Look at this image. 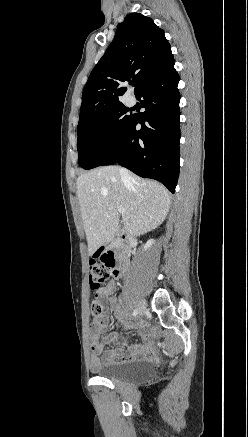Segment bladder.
Returning <instances> with one entry per match:
<instances>
[{"label": "bladder", "mask_w": 248, "mask_h": 437, "mask_svg": "<svg viewBox=\"0 0 248 437\" xmlns=\"http://www.w3.org/2000/svg\"><path fill=\"white\" fill-rule=\"evenodd\" d=\"M153 371V364L148 361H132L107 364L99 370V375L111 381L139 382L148 379Z\"/></svg>", "instance_id": "31cf9c89"}]
</instances>
